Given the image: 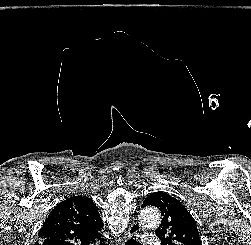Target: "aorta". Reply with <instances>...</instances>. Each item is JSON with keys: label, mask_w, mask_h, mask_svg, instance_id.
Returning a JSON list of instances; mask_svg holds the SVG:
<instances>
[{"label": "aorta", "mask_w": 251, "mask_h": 245, "mask_svg": "<svg viewBox=\"0 0 251 245\" xmlns=\"http://www.w3.org/2000/svg\"><path fill=\"white\" fill-rule=\"evenodd\" d=\"M140 219L143 225L155 228L160 223V215L156 208H145L140 213Z\"/></svg>", "instance_id": "1"}]
</instances>
